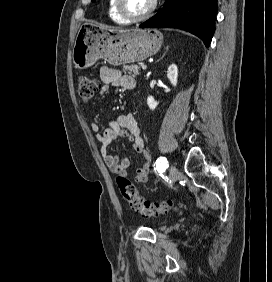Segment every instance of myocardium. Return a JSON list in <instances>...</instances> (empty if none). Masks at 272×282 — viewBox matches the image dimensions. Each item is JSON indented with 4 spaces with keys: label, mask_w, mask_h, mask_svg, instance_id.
Wrapping results in <instances>:
<instances>
[{
    "label": "myocardium",
    "mask_w": 272,
    "mask_h": 282,
    "mask_svg": "<svg viewBox=\"0 0 272 282\" xmlns=\"http://www.w3.org/2000/svg\"><path fill=\"white\" fill-rule=\"evenodd\" d=\"M157 5L158 0H153L150 8L145 13L141 15H133L125 8L123 0H114V7L117 13L128 22H139L149 18L157 9Z\"/></svg>",
    "instance_id": "f54148a6"
}]
</instances>
